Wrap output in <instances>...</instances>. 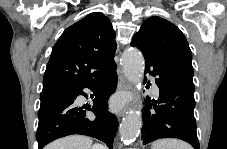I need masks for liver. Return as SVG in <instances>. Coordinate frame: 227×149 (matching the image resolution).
Segmentation results:
<instances>
[{
  "label": "liver",
  "instance_id": "liver-1",
  "mask_svg": "<svg viewBox=\"0 0 227 149\" xmlns=\"http://www.w3.org/2000/svg\"><path fill=\"white\" fill-rule=\"evenodd\" d=\"M91 146L92 140L89 137L71 135L53 141L45 149H91Z\"/></svg>",
  "mask_w": 227,
  "mask_h": 149
}]
</instances>
